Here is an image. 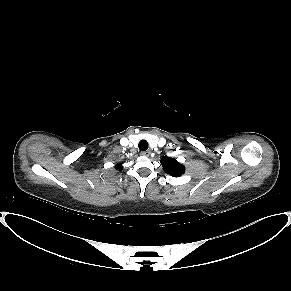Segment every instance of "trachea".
Segmentation results:
<instances>
[{
	"label": "trachea",
	"mask_w": 291,
	"mask_h": 291,
	"mask_svg": "<svg viewBox=\"0 0 291 291\" xmlns=\"http://www.w3.org/2000/svg\"><path fill=\"white\" fill-rule=\"evenodd\" d=\"M138 146L140 151H146L148 149V142L146 140H141Z\"/></svg>",
	"instance_id": "1"
}]
</instances>
